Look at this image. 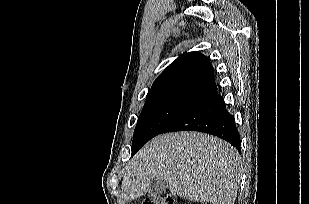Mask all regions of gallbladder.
I'll list each match as a JSON object with an SVG mask.
<instances>
[{
	"mask_svg": "<svg viewBox=\"0 0 309 204\" xmlns=\"http://www.w3.org/2000/svg\"><path fill=\"white\" fill-rule=\"evenodd\" d=\"M168 187V182L162 177L155 178L151 181L148 193L153 198L159 197Z\"/></svg>",
	"mask_w": 309,
	"mask_h": 204,
	"instance_id": "obj_1",
	"label": "gallbladder"
}]
</instances>
